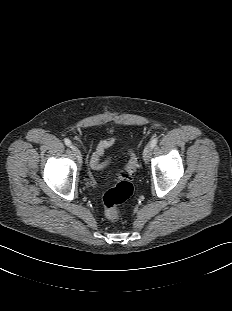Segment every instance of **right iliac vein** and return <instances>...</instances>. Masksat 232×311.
Listing matches in <instances>:
<instances>
[{"label": "right iliac vein", "mask_w": 232, "mask_h": 311, "mask_svg": "<svg viewBox=\"0 0 232 311\" xmlns=\"http://www.w3.org/2000/svg\"><path fill=\"white\" fill-rule=\"evenodd\" d=\"M71 148H72V151L74 152V154L76 155L79 163L81 164L82 163V157H81L80 150L74 145Z\"/></svg>", "instance_id": "63e3f726"}]
</instances>
